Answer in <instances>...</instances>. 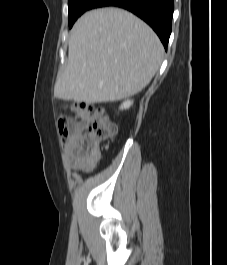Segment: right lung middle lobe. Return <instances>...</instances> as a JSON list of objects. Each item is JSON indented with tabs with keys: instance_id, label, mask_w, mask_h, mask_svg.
I'll list each match as a JSON object with an SVG mask.
<instances>
[{
	"instance_id": "obj_1",
	"label": "right lung middle lobe",
	"mask_w": 227,
	"mask_h": 265,
	"mask_svg": "<svg viewBox=\"0 0 227 265\" xmlns=\"http://www.w3.org/2000/svg\"><path fill=\"white\" fill-rule=\"evenodd\" d=\"M96 0H68V23L71 28L76 19L90 10Z\"/></svg>"
}]
</instances>
